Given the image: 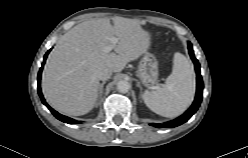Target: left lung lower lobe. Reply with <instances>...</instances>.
<instances>
[{
    "label": "left lung lower lobe",
    "instance_id": "1",
    "mask_svg": "<svg viewBox=\"0 0 248 158\" xmlns=\"http://www.w3.org/2000/svg\"><path fill=\"white\" fill-rule=\"evenodd\" d=\"M188 49H189L191 59L194 62L195 69H196V75H197V78H196L197 79V89H196L195 100H194L192 106L180 117L176 118L175 120L166 122L164 124H151L152 126H155L158 128H163V127L172 128V127L179 126V125L185 123L186 121H188V119H190V117L197 111L198 107L200 106V103L202 101V91H203V81H202V77L200 75V65L198 63V60L194 56L192 45L190 42H188Z\"/></svg>",
    "mask_w": 248,
    "mask_h": 158
}]
</instances>
